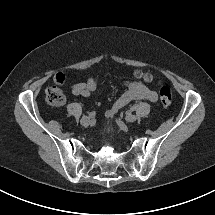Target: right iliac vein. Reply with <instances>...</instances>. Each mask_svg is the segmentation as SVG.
Segmentation results:
<instances>
[{"label": "right iliac vein", "mask_w": 215, "mask_h": 215, "mask_svg": "<svg viewBox=\"0 0 215 215\" xmlns=\"http://www.w3.org/2000/svg\"><path fill=\"white\" fill-rule=\"evenodd\" d=\"M81 125L88 126L91 123V117L83 116L80 120Z\"/></svg>", "instance_id": "1"}]
</instances>
